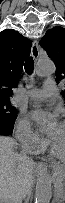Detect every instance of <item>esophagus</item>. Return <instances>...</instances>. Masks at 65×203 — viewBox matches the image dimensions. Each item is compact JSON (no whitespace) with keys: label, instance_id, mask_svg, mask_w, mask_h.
Wrapping results in <instances>:
<instances>
[{"label":"esophagus","instance_id":"obj_1","mask_svg":"<svg viewBox=\"0 0 65 203\" xmlns=\"http://www.w3.org/2000/svg\"><path fill=\"white\" fill-rule=\"evenodd\" d=\"M31 55L33 56L34 59H38V57H39L38 42L36 40L33 41L32 48H31ZM43 166H44L43 163H41V162L37 163L38 169H42Z\"/></svg>","mask_w":65,"mask_h":203}]
</instances>
